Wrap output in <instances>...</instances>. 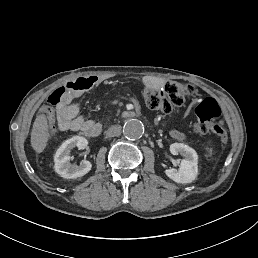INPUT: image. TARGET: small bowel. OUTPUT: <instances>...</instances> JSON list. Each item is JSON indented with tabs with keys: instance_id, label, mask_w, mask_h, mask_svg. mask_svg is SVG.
<instances>
[{
	"instance_id": "1",
	"label": "small bowel",
	"mask_w": 258,
	"mask_h": 258,
	"mask_svg": "<svg viewBox=\"0 0 258 258\" xmlns=\"http://www.w3.org/2000/svg\"><path fill=\"white\" fill-rule=\"evenodd\" d=\"M108 83V78L97 75L79 77L67 82L66 84L73 88L64 103L57 107L53 113L51 120H49L50 127L62 131H80L87 136H97L101 131V125L80 115L77 99L84 93ZM171 136L180 140L186 138L185 134L179 130L171 131Z\"/></svg>"
}]
</instances>
